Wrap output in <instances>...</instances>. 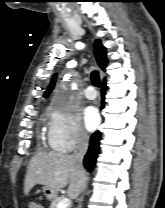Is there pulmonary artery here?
Returning <instances> with one entry per match:
<instances>
[{
	"label": "pulmonary artery",
	"mask_w": 165,
	"mask_h": 208,
	"mask_svg": "<svg viewBox=\"0 0 165 208\" xmlns=\"http://www.w3.org/2000/svg\"><path fill=\"white\" fill-rule=\"evenodd\" d=\"M84 95L88 100H94L96 98V92L91 86L85 89Z\"/></svg>",
	"instance_id": "e3ab8cb5"
}]
</instances>
